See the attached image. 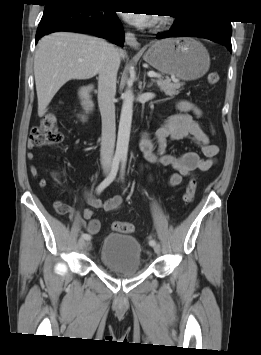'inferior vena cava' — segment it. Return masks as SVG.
I'll use <instances>...</instances> for the list:
<instances>
[{
	"label": "inferior vena cava",
	"mask_w": 261,
	"mask_h": 355,
	"mask_svg": "<svg viewBox=\"0 0 261 355\" xmlns=\"http://www.w3.org/2000/svg\"><path fill=\"white\" fill-rule=\"evenodd\" d=\"M120 65L118 50L108 45L102 58L98 77V105L102 118L101 165L108 169L112 165L115 147V93L117 72Z\"/></svg>",
	"instance_id": "602c4592"
}]
</instances>
